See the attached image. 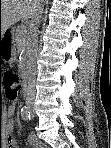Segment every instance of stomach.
Wrapping results in <instances>:
<instances>
[{
    "label": "stomach",
    "mask_w": 111,
    "mask_h": 148,
    "mask_svg": "<svg viewBox=\"0 0 111 148\" xmlns=\"http://www.w3.org/2000/svg\"><path fill=\"white\" fill-rule=\"evenodd\" d=\"M16 58V49L14 42L7 43L6 45L0 46V60L6 63H13Z\"/></svg>",
    "instance_id": "obj_1"
}]
</instances>
